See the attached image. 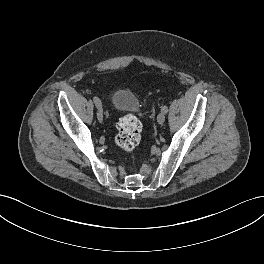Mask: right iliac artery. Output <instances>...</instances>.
Wrapping results in <instances>:
<instances>
[{
	"label": "right iliac artery",
	"instance_id": "1",
	"mask_svg": "<svg viewBox=\"0 0 264 264\" xmlns=\"http://www.w3.org/2000/svg\"><path fill=\"white\" fill-rule=\"evenodd\" d=\"M93 101L96 104L97 107H102L101 101L98 97H93Z\"/></svg>",
	"mask_w": 264,
	"mask_h": 264
}]
</instances>
